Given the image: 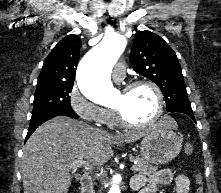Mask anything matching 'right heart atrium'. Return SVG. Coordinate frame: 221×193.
Masks as SVG:
<instances>
[{"mask_svg": "<svg viewBox=\"0 0 221 193\" xmlns=\"http://www.w3.org/2000/svg\"><path fill=\"white\" fill-rule=\"evenodd\" d=\"M68 102L71 109L81 119L95 125H102L107 123L109 110H106L88 100L81 93L77 85H74L71 88L68 95Z\"/></svg>", "mask_w": 221, "mask_h": 193, "instance_id": "right-heart-atrium-1", "label": "right heart atrium"}]
</instances>
